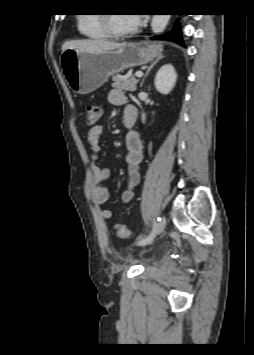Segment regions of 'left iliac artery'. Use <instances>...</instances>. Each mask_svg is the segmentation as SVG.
Wrapping results in <instances>:
<instances>
[{"label":"left iliac artery","instance_id":"44dca946","mask_svg":"<svg viewBox=\"0 0 254 355\" xmlns=\"http://www.w3.org/2000/svg\"><path fill=\"white\" fill-rule=\"evenodd\" d=\"M161 221V218H157V221L154 220V223H153V229L150 233V235H148L147 237H144V238H141L138 242H137V245H140V246H144L150 242H152L154 239L157 238V232H156V226L157 224Z\"/></svg>","mask_w":254,"mask_h":355}]
</instances>
